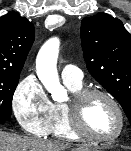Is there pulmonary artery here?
I'll list each match as a JSON object with an SVG mask.
<instances>
[{
    "instance_id": "1",
    "label": "pulmonary artery",
    "mask_w": 131,
    "mask_h": 151,
    "mask_svg": "<svg viewBox=\"0 0 131 151\" xmlns=\"http://www.w3.org/2000/svg\"><path fill=\"white\" fill-rule=\"evenodd\" d=\"M61 76L64 81L80 83L82 82L83 73L77 66L67 64L63 67Z\"/></svg>"
}]
</instances>
